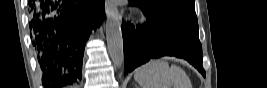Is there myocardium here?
I'll return each instance as SVG.
<instances>
[{"label": "myocardium", "instance_id": "f54148a6", "mask_svg": "<svg viewBox=\"0 0 267 88\" xmlns=\"http://www.w3.org/2000/svg\"><path fill=\"white\" fill-rule=\"evenodd\" d=\"M141 20L145 24H149L150 23V19L148 17H146V16H143Z\"/></svg>", "mask_w": 267, "mask_h": 88}]
</instances>
